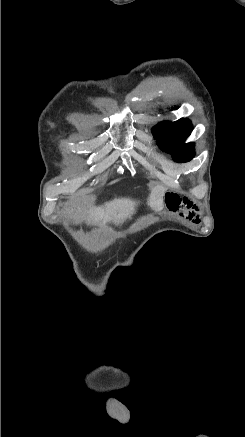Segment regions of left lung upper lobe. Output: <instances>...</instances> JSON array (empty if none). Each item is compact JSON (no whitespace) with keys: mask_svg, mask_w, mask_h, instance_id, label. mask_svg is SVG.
Instances as JSON below:
<instances>
[{"mask_svg":"<svg viewBox=\"0 0 245 437\" xmlns=\"http://www.w3.org/2000/svg\"><path fill=\"white\" fill-rule=\"evenodd\" d=\"M192 130L191 122L184 118L175 122H161L152 128L160 149L172 154L176 162H188L194 157V143H184Z\"/></svg>","mask_w":245,"mask_h":437,"instance_id":"5c2ea615","label":"left lung upper lobe"}]
</instances>
